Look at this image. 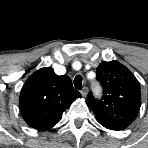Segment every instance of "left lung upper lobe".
I'll return each instance as SVG.
<instances>
[{"label": "left lung upper lobe", "mask_w": 148, "mask_h": 148, "mask_svg": "<svg viewBox=\"0 0 148 148\" xmlns=\"http://www.w3.org/2000/svg\"><path fill=\"white\" fill-rule=\"evenodd\" d=\"M96 72L97 80L103 87V97L96 99L90 92L86 103L102 126L110 130H123L139 112L140 84L132 72L116 60L102 62Z\"/></svg>", "instance_id": "obj_1"}]
</instances>
